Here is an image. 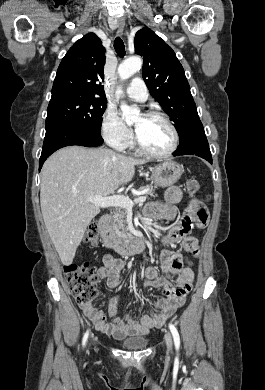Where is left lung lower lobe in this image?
I'll return each instance as SVG.
<instances>
[{
    "mask_svg": "<svg viewBox=\"0 0 265 390\" xmlns=\"http://www.w3.org/2000/svg\"><path fill=\"white\" fill-rule=\"evenodd\" d=\"M173 155H196L212 164V156L204 130H202L186 147L177 149Z\"/></svg>",
    "mask_w": 265,
    "mask_h": 390,
    "instance_id": "0a47b994",
    "label": "left lung lower lobe"
}]
</instances>
